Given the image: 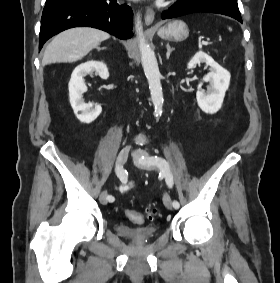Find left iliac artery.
<instances>
[{
    "instance_id": "obj_1",
    "label": "left iliac artery",
    "mask_w": 280,
    "mask_h": 283,
    "mask_svg": "<svg viewBox=\"0 0 280 283\" xmlns=\"http://www.w3.org/2000/svg\"><path fill=\"white\" fill-rule=\"evenodd\" d=\"M142 160L157 165L160 169L161 174L165 177V181L168 187H173V175L171 173L169 163L164 158L153 156L149 159L142 157ZM172 204L175 209L179 208L180 206L179 202L176 200H174Z\"/></svg>"
}]
</instances>
